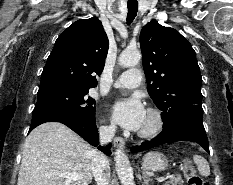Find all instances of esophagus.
<instances>
[{
	"label": "esophagus",
	"instance_id": "esophagus-1",
	"mask_svg": "<svg viewBox=\"0 0 233 185\" xmlns=\"http://www.w3.org/2000/svg\"><path fill=\"white\" fill-rule=\"evenodd\" d=\"M113 143L115 147L122 148L125 145V140L122 137H115Z\"/></svg>",
	"mask_w": 233,
	"mask_h": 185
}]
</instances>
